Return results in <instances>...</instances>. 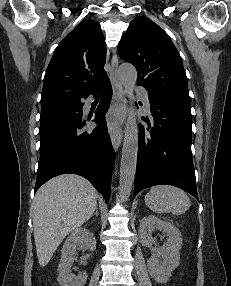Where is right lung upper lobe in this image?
<instances>
[{
	"instance_id": "cb5924a9",
	"label": "right lung upper lobe",
	"mask_w": 231,
	"mask_h": 286,
	"mask_svg": "<svg viewBox=\"0 0 231 286\" xmlns=\"http://www.w3.org/2000/svg\"><path fill=\"white\" fill-rule=\"evenodd\" d=\"M99 23L81 21L57 46L44 77L41 107L64 105L108 81Z\"/></svg>"
}]
</instances>
